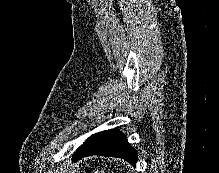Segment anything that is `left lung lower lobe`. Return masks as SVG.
Instances as JSON below:
<instances>
[{
    "instance_id": "obj_1",
    "label": "left lung lower lobe",
    "mask_w": 219,
    "mask_h": 173,
    "mask_svg": "<svg viewBox=\"0 0 219 173\" xmlns=\"http://www.w3.org/2000/svg\"><path fill=\"white\" fill-rule=\"evenodd\" d=\"M90 155L118 157L134 166L138 159L137 151L119 130H107L89 137L76 151L73 161Z\"/></svg>"
}]
</instances>
